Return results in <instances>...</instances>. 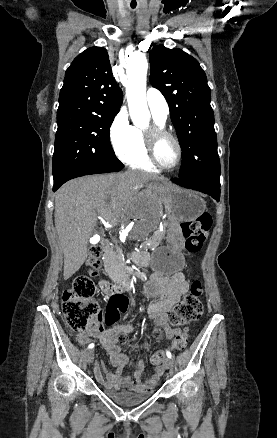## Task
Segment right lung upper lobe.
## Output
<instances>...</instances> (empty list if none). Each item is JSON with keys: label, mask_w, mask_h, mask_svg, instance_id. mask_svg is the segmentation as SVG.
<instances>
[{"label": "right lung upper lobe", "mask_w": 277, "mask_h": 438, "mask_svg": "<svg viewBox=\"0 0 277 438\" xmlns=\"http://www.w3.org/2000/svg\"><path fill=\"white\" fill-rule=\"evenodd\" d=\"M122 100L123 94L112 75L107 50L91 47L78 55L65 73L57 117H115Z\"/></svg>", "instance_id": "right-lung-upper-lobe-1"}]
</instances>
